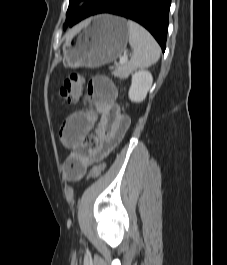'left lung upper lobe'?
Segmentation results:
<instances>
[{
  "mask_svg": "<svg viewBox=\"0 0 227 265\" xmlns=\"http://www.w3.org/2000/svg\"><path fill=\"white\" fill-rule=\"evenodd\" d=\"M81 0H69V7L66 13L68 18V23L64 24V29L69 24L73 26L74 24L78 23L82 19L91 16L92 13L106 0H88L83 7L78 9L77 3Z\"/></svg>",
  "mask_w": 227,
  "mask_h": 265,
  "instance_id": "1",
  "label": "left lung upper lobe"
}]
</instances>
